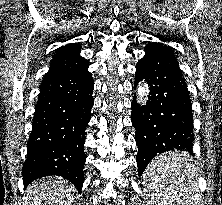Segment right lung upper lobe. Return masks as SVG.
Segmentation results:
<instances>
[{
  "label": "right lung upper lobe",
  "instance_id": "obj_1",
  "mask_svg": "<svg viewBox=\"0 0 222 205\" xmlns=\"http://www.w3.org/2000/svg\"><path fill=\"white\" fill-rule=\"evenodd\" d=\"M80 52L81 46L77 43L61 47L54 55L45 77L69 74L87 68L89 62L80 56Z\"/></svg>",
  "mask_w": 222,
  "mask_h": 205
}]
</instances>
